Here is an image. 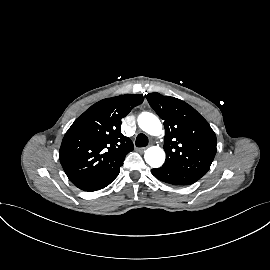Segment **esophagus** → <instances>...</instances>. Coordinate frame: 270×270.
Wrapping results in <instances>:
<instances>
[{
	"label": "esophagus",
	"instance_id": "esophagus-1",
	"mask_svg": "<svg viewBox=\"0 0 270 270\" xmlns=\"http://www.w3.org/2000/svg\"><path fill=\"white\" fill-rule=\"evenodd\" d=\"M139 152H144L146 150V147L138 148L137 149Z\"/></svg>",
	"mask_w": 270,
	"mask_h": 270
}]
</instances>
